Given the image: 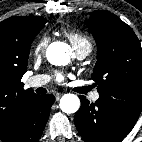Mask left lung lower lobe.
Masks as SVG:
<instances>
[{"label": "left lung lower lobe", "instance_id": "0a47b994", "mask_svg": "<svg viewBox=\"0 0 142 142\" xmlns=\"http://www.w3.org/2000/svg\"><path fill=\"white\" fill-rule=\"evenodd\" d=\"M74 122L85 142H120L133 129L140 114L117 108L99 97L90 103L80 96Z\"/></svg>", "mask_w": 142, "mask_h": 142}]
</instances>
